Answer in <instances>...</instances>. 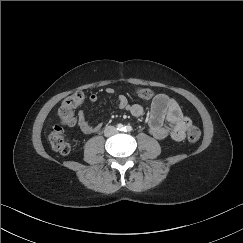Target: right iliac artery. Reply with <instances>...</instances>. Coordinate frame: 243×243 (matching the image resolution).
<instances>
[{
	"mask_svg": "<svg viewBox=\"0 0 243 243\" xmlns=\"http://www.w3.org/2000/svg\"><path fill=\"white\" fill-rule=\"evenodd\" d=\"M124 129L123 124H118L117 125V130L122 131Z\"/></svg>",
	"mask_w": 243,
	"mask_h": 243,
	"instance_id": "obj_1",
	"label": "right iliac artery"
}]
</instances>
